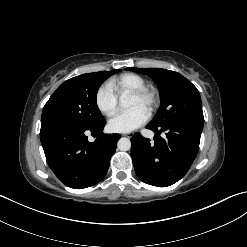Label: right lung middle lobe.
Here are the masks:
<instances>
[{
	"instance_id": "dd1d6c3e",
	"label": "right lung middle lobe",
	"mask_w": 247,
	"mask_h": 247,
	"mask_svg": "<svg viewBox=\"0 0 247 247\" xmlns=\"http://www.w3.org/2000/svg\"><path fill=\"white\" fill-rule=\"evenodd\" d=\"M120 69L82 74L62 83L43 108L41 128L66 124L92 127L105 120L97 103L100 85Z\"/></svg>"
}]
</instances>
